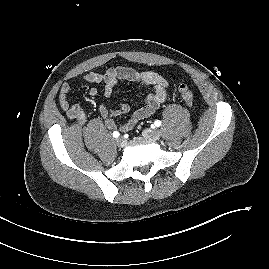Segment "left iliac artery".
<instances>
[{"label":"left iliac artery","mask_w":269,"mask_h":269,"mask_svg":"<svg viewBox=\"0 0 269 269\" xmlns=\"http://www.w3.org/2000/svg\"><path fill=\"white\" fill-rule=\"evenodd\" d=\"M154 124H155L156 127H159L161 125V121L160 120H156L154 122Z\"/></svg>","instance_id":"1"}]
</instances>
